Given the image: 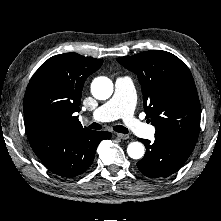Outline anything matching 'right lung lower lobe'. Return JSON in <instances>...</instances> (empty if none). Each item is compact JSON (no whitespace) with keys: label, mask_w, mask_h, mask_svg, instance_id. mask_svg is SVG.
Here are the masks:
<instances>
[{"label":"right lung lower lobe","mask_w":221,"mask_h":221,"mask_svg":"<svg viewBox=\"0 0 221 221\" xmlns=\"http://www.w3.org/2000/svg\"><path fill=\"white\" fill-rule=\"evenodd\" d=\"M112 136L106 131L84 130L39 131L28 135L30 145L53 173L61 177H75L84 173L93 163L98 144Z\"/></svg>","instance_id":"obj_1"}]
</instances>
